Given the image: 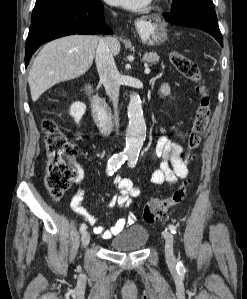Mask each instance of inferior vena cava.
Returning a JSON list of instances; mask_svg holds the SVG:
<instances>
[{
    "label": "inferior vena cava",
    "mask_w": 247,
    "mask_h": 299,
    "mask_svg": "<svg viewBox=\"0 0 247 299\" xmlns=\"http://www.w3.org/2000/svg\"><path fill=\"white\" fill-rule=\"evenodd\" d=\"M96 66L101 82L114 106V122L116 134L119 131L118 98L120 90V74L115 65L108 42L100 38L96 49Z\"/></svg>",
    "instance_id": "602c4592"
}]
</instances>
